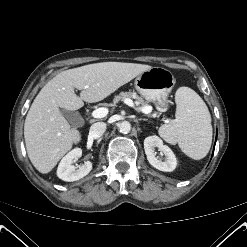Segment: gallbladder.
<instances>
[{
  "instance_id": "gallbladder-1",
  "label": "gallbladder",
  "mask_w": 247,
  "mask_h": 247,
  "mask_svg": "<svg viewBox=\"0 0 247 247\" xmlns=\"http://www.w3.org/2000/svg\"><path fill=\"white\" fill-rule=\"evenodd\" d=\"M63 116L72 126H80L82 124V118L77 112L61 111Z\"/></svg>"
}]
</instances>
